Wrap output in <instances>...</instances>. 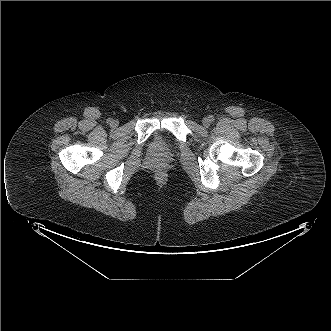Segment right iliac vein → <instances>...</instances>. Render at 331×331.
<instances>
[{
  "mask_svg": "<svg viewBox=\"0 0 331 331\" xmlns=\"http://www.w3.org/2000/svg\"><path fill=\"white\" fill-rule=\"evenodd\" d=\"M118 125H119V122L117 120H113L112 123H111V126L113 128H116Z\"/></svg>",
  "mask_w": 331,
  "mask_h": 331,
  "instance_id": "63e3f726",
  "label": "right iliac vein"
}]
</instances>
